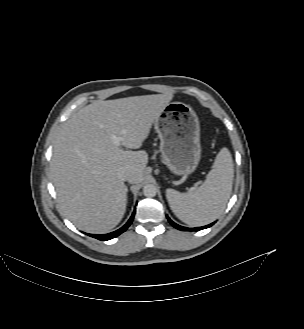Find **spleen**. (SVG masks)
I'll use <instances>...</instances> for the list:
<instances>
[{
    "label": "spleen",
    "instance_id": "1",
    "mask_svg": "<svg viewBox=\"0 0 304 329\" xmlns=\"http://www.w3.org/2000/svg\"><path fill=\"white\" fill-rule=\"evenodd\" d=\"M233 177L231 153L227 148H223L199 188L189 193L170 188L166 190V198L172 212L190 226H202L214 221L223 213L230 198Z\"/></svg>",
    "mask_w": 304,
    "mask_h": 329
}]
</instances>
